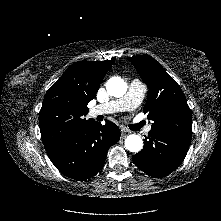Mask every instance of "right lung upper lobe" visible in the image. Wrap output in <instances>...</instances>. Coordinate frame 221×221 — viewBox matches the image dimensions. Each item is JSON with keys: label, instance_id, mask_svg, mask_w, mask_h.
<instances>
[{"label": "right lung upper lobe", "instance_id": "right-lung-upper-lobe-1", "mask_svg": "<svg viewBox=\"0 0 221 221\" xmlns=\"http://www.w3.org/2000/svg\"><path fill=\"white\" fill-rule=\"evenodd\" d=\"M114 60L79 61L72 64L47 91L39 114L43 144L48 151L65 142L86 120L87 104Z\"/></svg>", "mask_w": 221, "mask_h": 221}]
</instances>
